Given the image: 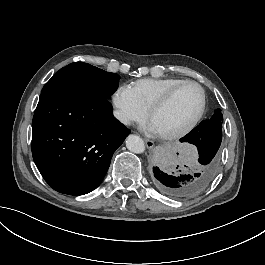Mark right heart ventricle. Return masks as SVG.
<instances>
[{"instance_id": "obj_1", "label": "right heart ventricle", "mask_w": 265, "mask_h": 265, "mask_svg": "<svg viewBox=\"0 0 265 265\" xmlns=\"http://www.w3.org/2000/svg\"><path fill=\"white\" fill-rule=\"evenodd\" d=\"M182 80L184 78L181 77L143 78L133 81L127 86L139 103L149 111L170 88Z\"/></svg>"}]
</instances>
